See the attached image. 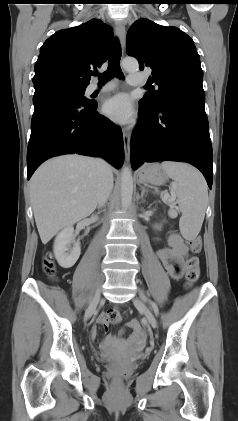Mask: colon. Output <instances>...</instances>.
Listing matches in <instances>:
<instances>
[{
	"label": "colon",
	"mask_w": 238,
	"mask_h": 421,
	"mask_svg": "<svg viewBox=\"0 0 238 421\" xmlns=\"http://www.w3.org/2000/svg\"><path fill=\"white\" fill-rule=\"evenodd\" d=\"M187 243L192 251L197 252L201 248V239L200 237H191L187 240ZM44 271L50 277H53L56 272L55 264L52 260V257L48 255L44 260ZM185 275L187 280V287L195 283L200 276V265L199 260L195 256H191L187 259L185 263ZM111 320H116V315L111 316Z\"/></svg>",
	"instance_id": "obj_1"
}]
</instances>
